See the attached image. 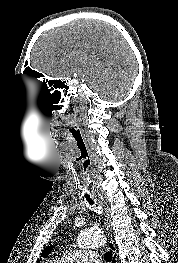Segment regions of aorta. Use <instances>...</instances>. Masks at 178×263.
Instances as JSON below:
<instances>
[{
  "mask_svg": "<svg viewBox=\"0 0 178 263\" xmlns=\"http://www.w3.org/2000/svg\"><path fill=\"white\" fill-rule=\"evenodd\" d=\"M105 242V235L100 231L84 230L81 231L77 238V245L82 249L100 246Z\"/></svg>",
  "mask_w": 178,
  "mask_h": 263,
  "instance_id": "obj_1",
  "label": "aorta"
}]
</instances>
